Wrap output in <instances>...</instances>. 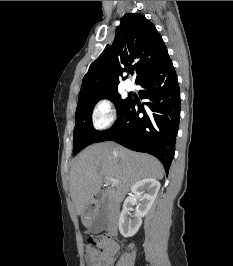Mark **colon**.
<instances>
[{"label":"colon","instance_id":"colon-1","mask_svg":"<svg viewBox=\"0 0 233 266\" xmlns=\"http://www.w3.org/2000/svg\"><path fill=\"white\" fill-rule=\"evenodd\" d=\"M109 239L110 238L107 235H105V234L95 235V236H91V237L88 238V244L91 247H95L97 249H101L102 244L107 242Z\"/></svg>","mask_w":233,"mask_h":266}]
</instances>
